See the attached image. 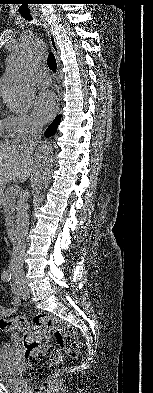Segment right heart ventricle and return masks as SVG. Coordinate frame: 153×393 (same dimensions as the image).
<instances>
[{"mask_svg":"<svg viewBox=\"0 0 153 393\" xmlns=\"http://www.w3.org/2000/svg\"><path fill=\"white\" fill-rule=\"evenodd\" d=\"M5 132H9L7 118H0V137H2Z\"/></svg>","mask_w":153,"mask_h":393,"instance_id":"right-heart-ventricle-1","label":"right heart ventricle"}]
</instances>
